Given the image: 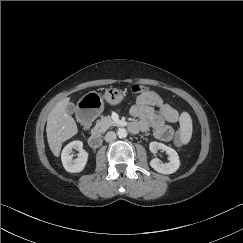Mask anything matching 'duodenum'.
Instances as JSON below:
<instances>
[{
  "label": "duodenum",
  "mask_w": 243,
  "mask_h": 243,
  "mask_svg": "<svg viewBox=\"0 0 243 243\" xmlns=\"http://www.w3.org/2000/svg\"><path fill=\"white\" fill-rule=\"evenodd\" d=\"M129 128H130L131 130L134 129V127L131 126V125H129ZM89 144H90V146L93 147V148H97V147H99V146L102 144V137H101V135H100L99 132L94 131V132L90 135V137H89Z\"/></svg>",
  "instance_id": "duodenum-1"
}]
</instances>
